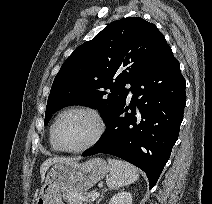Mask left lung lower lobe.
<instances>
[{
	"instance_id": "1",
	"label": "left lung lower lobe",
	"mask_w": 212,
	"mask_h": 204,
	"mask_svg": "<svg viewBox=\"0 0 212 204\" xmlns=\"http://www.w3.org/2000/svg\"><path fill=\"white\" fill-rule=\"evenodd\" d=\"M131 91L129 106L125 100L105 119L106 132L82 156L106 153L122 158L143 170L152 188L177 141L186 104L185 80L171 48Z\"/></svg>"
}]
</instances>
